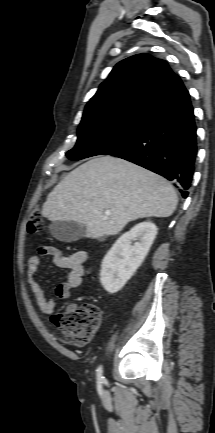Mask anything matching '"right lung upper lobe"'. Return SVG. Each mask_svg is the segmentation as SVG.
<instances>
[{"instance_id":"cb5924a9","label":"right lung upper lobe","mask_w":215,"mask_h":433,"mask_svg":"<svg viewBox=\"0 0 215 433\" xmlns=\"http://www.w3.org/2000/svg\"><path fill=\"white\" fill-rule=\"evenodd\" d=\"M185 90L161 59L138 54L119 62L85 107L81 122L146 115Z\"/></svg>"}]
</instances>
